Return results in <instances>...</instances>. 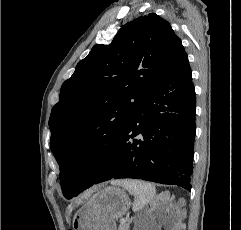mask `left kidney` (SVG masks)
Returning a JSON list of instances; mask_svg holds the SVG:
<instances>
[{
    "label": "left kidney",
    "mask_w": 241,
    "mask_h": 230,
    "mask_svg": "<svg viewBox=\"0 0 241 230\" xmlns=\"http://www.w3.org/2000/svg\"><path fill=\"white\" fill-rule=\"evenodd\" d=\"M136 230H155V227L152 223H146L139 227V229Z\"/></svg>",
    "instance_id": "1"
}]
</instances>
